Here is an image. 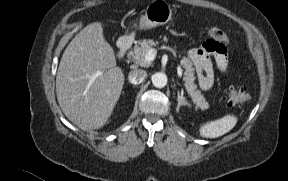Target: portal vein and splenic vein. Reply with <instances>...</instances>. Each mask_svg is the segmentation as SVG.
<instances>
[{"label": "portal vein and splenic vein", "instance_id": "1", "mask_svg": "<svg viewBox=\"0 0 288 181\" xmlns=\"http://www.w3.org/2000/svg\"><path fill=\"white\" fill-rule=\"evenodd\" d=\"M156 55H157V51L155 49H150L145 56V61L146 62L153 61L155 59ZM177 74L179 77L182 76V69H181L180 65L177 66Z\"/></svg>", "mask_w": 288, "mask_h": 181}]
</instances>
